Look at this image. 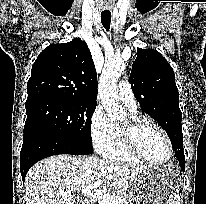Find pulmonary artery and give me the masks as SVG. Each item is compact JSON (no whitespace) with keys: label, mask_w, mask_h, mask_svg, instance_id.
I'll use <instances>...</instances> for the list:
<instances>
[{"label":"pulmonary artery","mask_w":206,"mask_h":204,"mask_svg":"<svg viewBox=\"0 0 206 204\" xmlns=\"http://www.w3.org/2000/svg\"><path fill=\"white\" fill-rule=\"evenodd\" d=\"M117 94L120 100L129 108L136 109V100L131 85L127 81L119 82Z\"/></svg>","instance_id":"obj_1"}]
</instances>
